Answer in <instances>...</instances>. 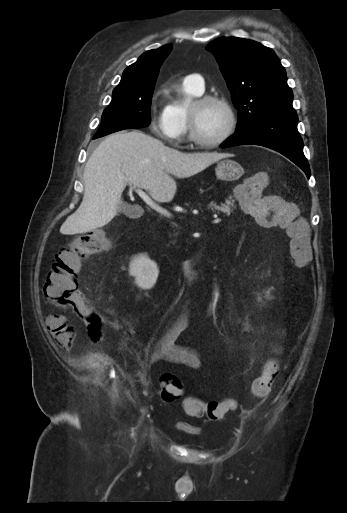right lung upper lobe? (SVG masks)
Wrapping results in <instances>:
<instances>
[{
  "label": "right lung upper lobe",
  "mask_w": 347,
  "mask_h": 513,
  "mask_svg": "<svg viewBox=\"0 0 347 513\" xmlns=\"http://www.w3.org/2000/svg\"><path fill=\"white\" fill-rule=\"evenodd\" d=\"M172 49V45H164L142 54L139 59L127 67L122 79L115 88L147 87L156 83L159 68Z\"/></svg>",
  "instance_id": "cb5924a9"
}]
</instances>
